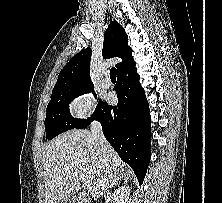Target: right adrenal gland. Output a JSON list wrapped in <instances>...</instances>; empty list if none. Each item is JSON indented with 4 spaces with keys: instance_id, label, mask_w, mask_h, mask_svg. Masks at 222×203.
I'll return each mask as SVG.
<instances>
[{
    "instance_id": "2a0ac1e0",
    "label": "right adrenal gland",
    "mask_w": 222,
    "mask_h": 203,
    "mask_svg": "<svg viewBox=\"0 0 222 203\" xmlns=\"http://www.w3.org/2000/svg\"><path fill=\"white\" fill-rule=\"evenodd\" d=\"M127 179H128L127 177H124V180H125V181H127ZM117 184H118V181L114 182L111 187H114V186H116Z\"/></svg>"
}]
</instances>
